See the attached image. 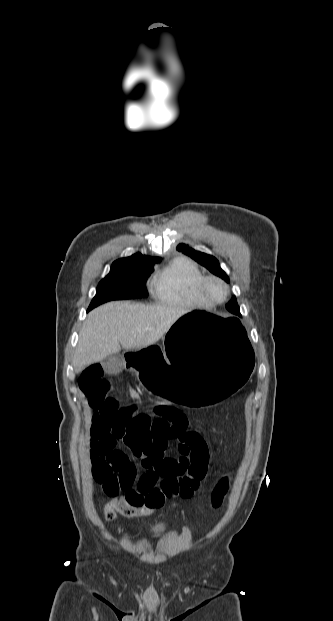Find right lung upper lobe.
Masks as SVG:
<instances>
[{
	"mask_svg": "<svg viewBox=\"0 0 333 621\" xmlns=\"http://www.w3.org/2000/svg\"><path fill=\"white\" fill-rule=\"evenodd\" d=\"M160 259V257H149L146 255H142L141 253H136L130 257L118 259L114 263H128L153 267L154 264L157 263Z\"/></svg>",
	"mask_w": 333,
	"mask_h": 621,
	"instance_id": "1",
	"label": "right lung upper lobe"
}]
</instances>
